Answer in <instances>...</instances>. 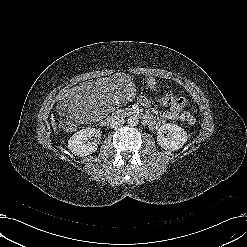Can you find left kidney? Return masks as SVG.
I'll return each mask as SVG.
<instances>
[{
	"label": "left kidney",
	"instance_id": "1",
	"mask_svg": "<svg viewBox=\"0 0 247 247\" xmlns=\"http://www.w3.org/2000/svg\"><path fill=\"white\" fill-rule=\"evenodd\" d=\"M166 134V136L164 135ZM187 132L176 124H164L157 131V142L165 150L176 151L187 142Z\"/></svg>",
	"mask_w": 247,
	"mask_h": 247
}]
</instances>
